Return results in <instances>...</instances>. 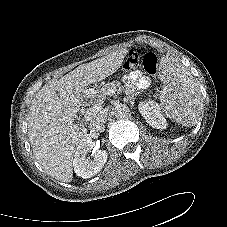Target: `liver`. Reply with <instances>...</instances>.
I'll return each instance as SVG.
<instances>
[{
  "mask_svg": "<svg viewBox=\"0 0 227 227\" xmlns=\"http://www.w3.org/2000/svg\"><path fill=\"white\" fill-rule=\"evenodd\" d=\"M127 53L124 48L79 65L35 94L27 117L29 141L36 160L51 177L72 181L74 153L87 136L84 126L74 124L82 96L90 84L115 73Z\"/></svg>",
  "mask_w": 227,
  "mask_h": 227,
  "instance_id": "obj_1",
  "label": "liver"
}]
</instances>
